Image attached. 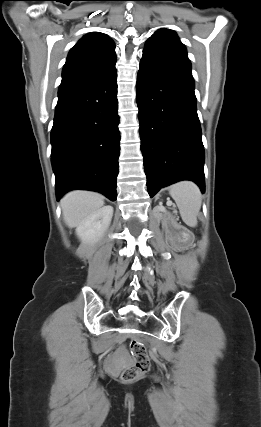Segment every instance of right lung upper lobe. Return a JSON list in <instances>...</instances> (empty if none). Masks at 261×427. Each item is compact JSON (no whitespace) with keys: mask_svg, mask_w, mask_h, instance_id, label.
<instances>
[{"mask_svg":"<svg viewBox=\"0 0 261 427\" xmlns=\"http://www.w3.org/2000/svg\"><path fill=\"white\" fill-rule=\"evenodd\" d=\"M114 42L98 32L85 35L69 52L59 92L100 78L115 69Z\"/></svg>","mask_w":261,"mask_h":427,"instance_id":"right-lung-upper-lobe-1","label":"right lung upper lobe"}]
</instances>
